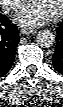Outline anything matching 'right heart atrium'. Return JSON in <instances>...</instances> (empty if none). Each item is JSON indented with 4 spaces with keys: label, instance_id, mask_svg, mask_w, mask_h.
Segmentation results:
<instances>
[{
    "label": "right heart atrium",
    "instance_id": "1",
    "mask_svg": "<svg viewBox=\"0 0 63 107\" xmlns=\"http://www.w3.org/2000/svg\"><path fill=\"white\" fill-rule=\"evenodd\" d=\"M22 4V1L20 0H4L3 5L6 10L9 12L16 11Z\"/></svg>",
    "mask_w": 63,
    "mask_h": 107
}]
</instances>
